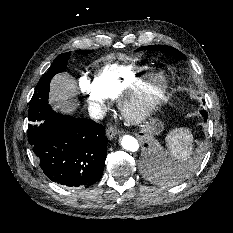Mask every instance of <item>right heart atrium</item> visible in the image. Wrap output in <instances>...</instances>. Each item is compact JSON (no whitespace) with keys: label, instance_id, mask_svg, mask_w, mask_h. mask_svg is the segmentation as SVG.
Masks as SVG:
<instances>
[{"label":"right heart atrium","instance_id":"obj_1","mask_svg":"<svg viewBox=\"0 0 233 233\" xmlns=\"http://www.w3.org/2000/svg\"><path fill=\"white\" fill-rule=\"evenodd\" d=\"M79 91L91 115L97 116L104 110L106 100L95 80L82 76L79 79Z\"/></svg>","mask_w":233,"mask_h":233}]
</instances>
